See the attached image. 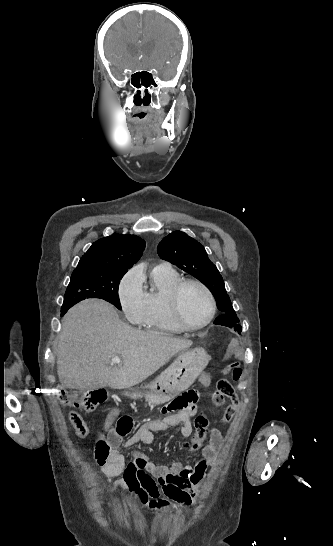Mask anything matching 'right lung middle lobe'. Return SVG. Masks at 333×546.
Listing matches in <instances>:
<instances>
[{
	"mask_svg": "<svg viewBox=\"0 0 333 546\" xmlns=\"http://www.w3.org/2000/svg\"><path fill=\"white\" fill-rule=\"evenodd\" d=\"M126 272L127 270L97 266L82 274L72 275L61 311H67L79 301L88 298L104 299L121 310L118 287Z\"/></svg>",
	"mask_w": 333,
	"mask_h": 546,
	"instance_id": "right-lung-middle-lobe-1",
	"label": "right lung middle lobe"
}]
</instances>
